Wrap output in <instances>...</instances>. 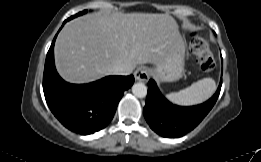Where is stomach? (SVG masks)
Listing matches in <instances>:
<instances>
[{
	"label": "stomach",
	"mask_w": 261,
	"mask_h": 162,
	"mask_svg": "<svg viewBox=\"0 0 261 162\" xmlns=\"http://www.w3.org/2000/svg\"><path fill=\"white\" fill-rule=\"evenodd\" d=\"M185 50V43L180 36L175 41L164 60L151 70L153 77L161 82H173L179 80L184 73Z\"/></svg>",
	"instance_id": "stomach-1"
}]
</instances>
